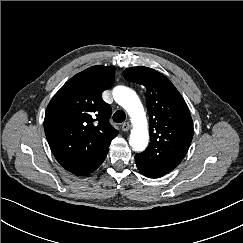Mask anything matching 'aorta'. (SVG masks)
Returning <instances> with one entry per match:
<instances>
[{"instance_id":"762f6f07","label":"aorta","mask_w":243,"mask_h":243,"mask_svg":"<svg viewBox=\"0 0 243 243\" xmlns=\"http://www.w3.org/2000/svg\"><path fill=\"white\" fill-rule=\"evenodd\" d=\"M114 100L130 115L133 123L129 144L134 151H143L149 140L147 119L137 94L128 87L117 86L113 89Z\"/></svg>"}]
</instances>
